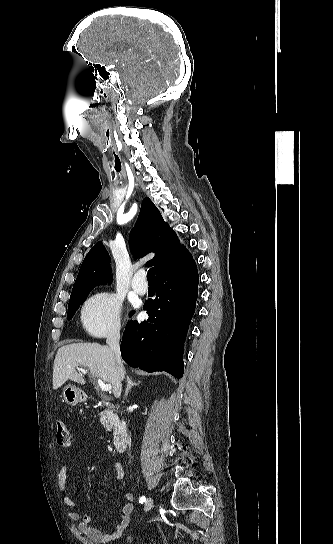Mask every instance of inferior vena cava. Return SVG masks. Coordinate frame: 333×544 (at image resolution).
Returning a JSON list of instances; mask_svg holds the SVG:
<instances>
[{
	"instance_id": "inferior-vena-cava-1",
	"label": "inferior vena cava",
	"mask_w": 333,
	"mask_h": 544,
	"mask_svg": "<svg viewBox=\"0 0 333 544\" xmlns=\"http://www.w3.org/2000/svg\"><path fill=\"white\" fill-rule=\"evenodd\" d=\"M119 340H120V330L115 329L108 334L106 343L114 352L118 374L120 376V379L123 380L125 371H124V367H123L122 359H121Z\"/></svg>"
}]
</instances>
